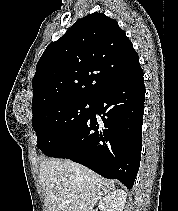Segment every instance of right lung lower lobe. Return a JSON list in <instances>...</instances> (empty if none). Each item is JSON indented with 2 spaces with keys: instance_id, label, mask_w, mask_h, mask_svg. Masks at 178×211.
Returning <instances> with one entry per match:
<instances>
[{
  "instance_id": "98d812e1",
  "label": "right lung lower lobe",
  "mask_w": 178,
  "mask_h": 211,
  "mask_svg": "<svg viewBox=\"0 0 178 211\" xmlns=\"http://www.w3.org/2000/svg\"><path fill=\"white\" fill-rule=\"evenodd\" d=\"M144 100L140 68L94 97L83 125L46 155L70 159L131 189L140 166Z\"/></svg>"
}]
</instances>
